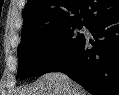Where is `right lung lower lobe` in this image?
<instances>
[{
  "mask_svg": "<svg viewBox=\"0 0 119 95\" xmlns=\"http://www.w3.org/2000/svg\"><path fill=\"white\" fill-rule=\"evenodd\" d=\"M87 28L95 41L84 36L48 72L67 74L93 95H119V13Z\"/></svg>",
  "mask_w": 119,
  "mask_h": 95,
  "instance_id": "right-lung-lower-lobe-1",
  "label": "right lung lower lobe"
}]
</instances>
